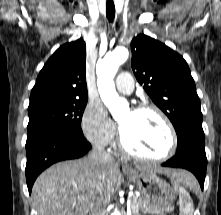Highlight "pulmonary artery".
Returning <instances> with one entry per match:
<instances>
[{"mask_svg":"<svg viewBox=\"0 0 221 215\" xmlns=\"http://www.w3.org/2000/svg\"><path fill=\"white\" fill-rule=\"evenodd\" d=\"M116 89L125 94H130L134 89L133 78L128 72H121L115 81Z\"/></svg>","mask_w":221,"mask_h":215,"instance_id":"1","label":"pulmonary artery"}]
</instances>
